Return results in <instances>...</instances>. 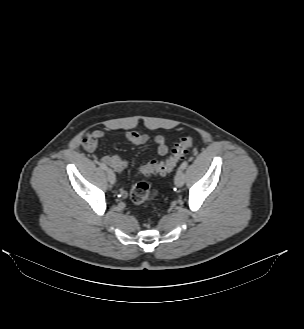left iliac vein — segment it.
I'll return each mask as SVG.
<instances>
[{"label": "left iliac vein", "mask_w": 304, "mask_h": 329, "mask_svg": "<svg viewBox=\"0 0 304 329\" xmlns=\"http://www.w3.org/2000/svg\"><path fill=\"white\" fill-rule=\"evenodd\" d=\"M175 185L177 187H182L184 184V171L183 169L179 168L176 172L175 178H174Z\"/></svg>", "instance_id": "left-iliac-vein-1"}]
</instances>
